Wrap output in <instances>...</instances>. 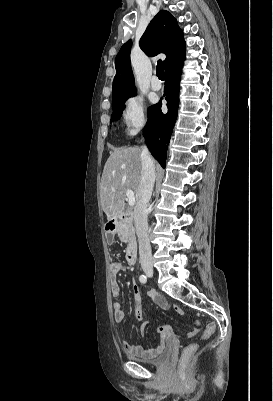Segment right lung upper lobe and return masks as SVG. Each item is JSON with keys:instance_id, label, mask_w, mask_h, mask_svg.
I'll use <instances>...</instances> for the list:
<instances>
[{"instance_id": "right-lung-upper-lobe-1", "label": "right lung upper lobe", "mask_w": 273, "mask_h": 401, "mask_svg": "<svg viewBox=\"0 0 273 401\" xmlns=\"http://www.w3.org/2000/svg\"><path fill=\"white\" fill-rule=\"evenodd\" d=\"M131 41L126 42L115 59L116 75L113 81V107L136 95L131 72ZM140 48L149 56L166 54L165 72L184 60L185 41L176 19L166 10H161L150 22L140 39Z\"/></svg>"}]
</instances>
